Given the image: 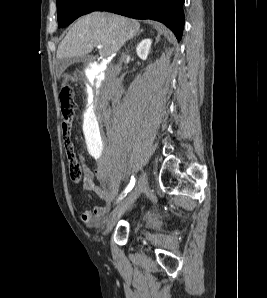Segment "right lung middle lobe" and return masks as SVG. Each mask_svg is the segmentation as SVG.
Instances as JSON below:
<instances>
[{"label": "right lung middle lobe", "mask_w": 267, "mask_h": 298, "mask_svg": "<svg viewBox=\"0 0 267 298\" xmlns=\"http://www.w3.org/2000/svg\"><path fill=\"white\" fill-rule=\"evenodd\" d=\"M104 0H57L58 25L63 27L94 11Z\"/></svg>", "instance_id": "obj_1"}]
</instances>
